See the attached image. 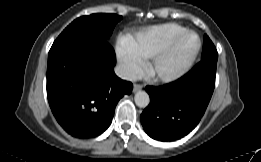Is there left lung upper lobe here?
Instances as JSON below:
<instances>
[{"label": "left lung upper lobe", "instance_id": "left-lung-upper-lobe-1", "mask_svg": "<svg viewBox=\"0 0 261 162\" xmlns=\"http://www.w3.org/2000/svg\"><path fill=\"white\" fill-rule=\"evenodd\" d=\"M205 58H216V59L218 58L217 50L207 35L204 36L203 51H202V59Z\"/></svg>", "mask_w": 261, "mask_h": 162}]
</instances>
